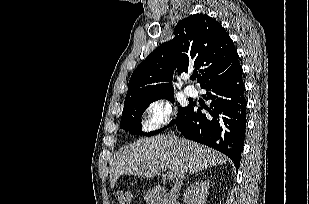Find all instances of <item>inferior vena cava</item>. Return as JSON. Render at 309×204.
<instances>
[{"label": "inferior vena cava", "mask_w": 309, "mask_h": 204, "mask_svg": "<svg viewBox=\"0 0 309 204\" xmlns=\"http://www.w3.org/2000/svg\"><path fill=\"white\" fill-rule=\"evenodd\" d=\"M185 173H186V171L182 170L177 175L176 182H175V184L172 187L171 192H170L169 204H175V201H176V199H177V197L179 195L180 188H181V186L183 184V179L185 177Z\"/></svg>", "instance_id": "602c4592"}]
</instances>
